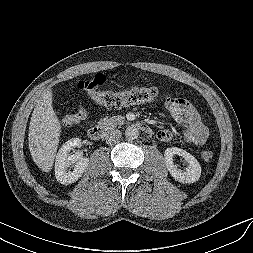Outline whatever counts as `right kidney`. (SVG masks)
Masks as SVG:
<instances>
[{
    "instance_id": "right-kidney-1",
    "label": "right kidney",
    "mask_w": 253,
    "mask_h": 253,
    "mask_svg": "<svg viewBox=\"0 0 253 253\" xmlns=\"http://www.w3.org/2000/svg\"><path fill=\"white\" fill-rule=\"evenodd\" d=\"M82 145L79 138H72L65 142L56 156L55 176L61 184L69 185L76 182L88 167L89 159L83 158L80 154L69 155V152ZM75 164V165H74ZM74 166V170L68 171V168Z\"/></svg>"
}]
</instances>
